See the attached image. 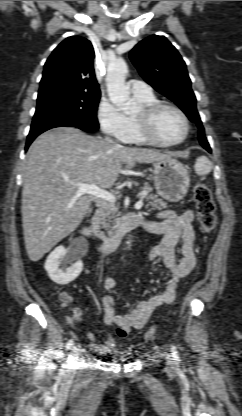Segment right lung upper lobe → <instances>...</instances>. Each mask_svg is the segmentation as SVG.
I'll use <instances>...</instances> for the list:
<instances>
[{
  "mask_svg": "<svg viewBox=\"0 0 242 416\" xmlns=\"http://www.w3.org/2000/svg\"><path fill=\"white\" fill-rule=\"evenodd\" d=\"M91 42L72 36L61 42L44 65L38 95L57 90L99 93L94 68Z\"/></svg>",
  "mask_w": 242,
  "mask_h": 416,
  "instance_id": "right-lung-upper-lobe-1",
  "label": "right lung upper lobe"
}]
</instances>
